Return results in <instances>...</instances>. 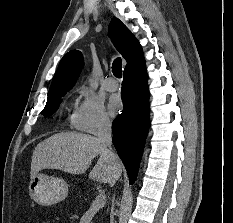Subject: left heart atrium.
Returning a JSON list of instances; mask_svg holds the SVG:
<instances>
[{
	"mask_svg": "<svg viewBox=\"0 0 233 223\" xmlns=\"http://www.w3.org/2000/svg\"><path fill=\"white\" fill-rule=\"evenodd\" d=\"M108 110H109V114L114 117L117 114L120 113L121 111V104L119 99L116 96H113L110 98L109 100V104H108Z\"/></svg>",
	"mask_w": 233,
	"mask_h": 223,
	"instance_id": "1",
	"label": "left heart atrium"
}]
</instances>
